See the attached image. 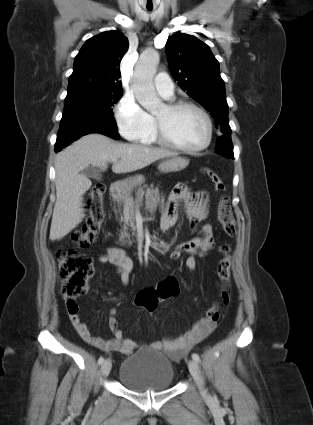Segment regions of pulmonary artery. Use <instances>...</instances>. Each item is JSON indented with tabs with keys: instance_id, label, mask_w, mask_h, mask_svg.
I'll return each mask as SVG.
<instances>
[{
	"instance_id": "e3ab8cb5",
	"label": "pulmonary artery",
	"mask_w": 313,
	"mask_h": 425,
	"mask_svg": "<svg viewBox=\"0 0 313 425\" xmlns=\"http://www.w3.org/2000/svg\"><path fill=\"white\" fill-rule=\"evenodd\" d=\"M154 86L163 98L171 99L174 96V84L167 74L159 73L154 79Z\"/></svg>"
}]
</instances>
